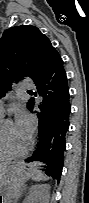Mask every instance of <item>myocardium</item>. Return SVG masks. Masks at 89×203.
Returning a JSON list of instances; mask_svg holds the SVG:
<instances>
[{
	"label": "myocardium",
	"mask_w": 89,
	"mask_h": 203,
	"mask_svg": "<svg viewBox=\"0 0 89 203\" xmlns=\"http://www.w3.org/2000/svg\"><path fill=\"white\" fill-rule=\"evenodd\" d=\"M3 127H4V125H2L1 129H0V145H1L2 150L4 151V155L7 158H19V157L25 155L28 152L29 148H30L32 140L31 139L28 140L27 145L21 151H19L17 153H9V152L6 151V147H5V139H4V134H3Z\"/></svg>",
	"instance_id": "1"
}]
</instances>
